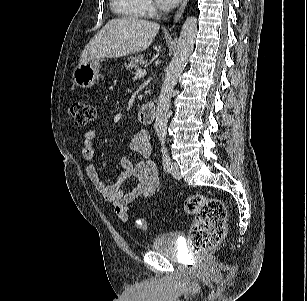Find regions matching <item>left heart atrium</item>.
<instances>
[{"instance_id":"39dd6f15","label":"left heart atrium","mask_w":307,"mask_h":301,"mask_svg":"<svg viewBox=\"0 0 307 301\" xmlns=\"http://www.w3.org/2000/svg\"><path fill=\"white\" fill-rule=\"evenodd\" d=\"M157 3L163 8H173L175 7L181 0H156Z\"/></svg>"}]
</instances>
